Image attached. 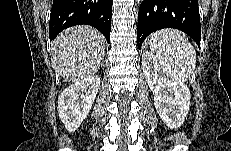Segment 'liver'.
Listing matches in <instances>:
<instances>
[{
  "label": "liver",
  "mask_w": 231,
  "mask_h": 151,
  "mask_svg": "<svg viewBox=\"0 0 231 151\" xmlns=\"http://www.w3.org/2000/svg\"><path fill=\"white\" fill-rule=\"evenodd\" d=\"M105 47L103 35L91 26L66 29L53 42V67L68 82L90 77L98 71Z\"/></svg>",
  "instance_id": "liver-1"
}]
</instances>
